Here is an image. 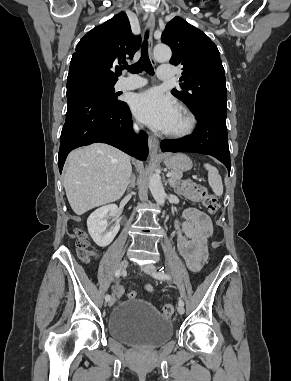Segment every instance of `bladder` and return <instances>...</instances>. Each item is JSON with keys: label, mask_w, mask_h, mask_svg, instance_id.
Returning <instances> with one entry per match:
<instances>
[{"label": "bladder", "mask_w": 291, "mask_h": 381, "mask_svg": "<svg viewBox=\"0 0 291 381\" xmlns=\"http://www.w3.org/2000/svg\"><path fill=\"white\" fill-rule=\"evenodd\" d=\"M107 330L115 340L143 348H156L173 335L170 319L141 298L118 303L108 316Z\"/></svg>", "instance_id": "1"}]
</instances>
